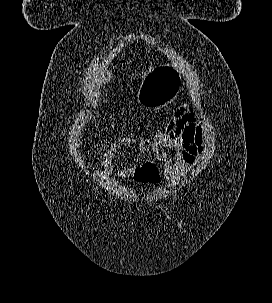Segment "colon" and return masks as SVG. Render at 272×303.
Segmentation results:
<instances>
[{"label": "colon", "mask_w": 272, "mask_h": 303, "mask_svg": "<svg viewBox=\"0 0 272 303\" xmlns=\"http://www.w3.org/2000/svg\"><path fill=\"white\" fill-rule=\"evenodd\" d=\"M157 167L152 163L139 166L134 174L135 180L142 183L155 184L158 181Z\"/></svg>", "instance_id": "1"}]
</instances>
